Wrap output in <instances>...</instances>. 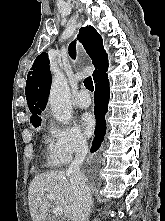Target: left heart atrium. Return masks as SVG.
I'll return each mask as SVG.
<instances>
[{
  "mask_svg": "<svg viewBox=\"0 0 165 221\" xmlns=\"http://www.w3.org/2000/svg\"><path fill=\"white\" fill-rule=\"evenodd\" d=\"M81 126L86 135H92L95 130V118L91 113H84L81 116Z\"/></svg>",
  "mask_w": 165,
  "mask_h": 221,
  "instance_id": "left-heart-atrium-1",
  "label": "left heart atrium"
}]
</instances>
